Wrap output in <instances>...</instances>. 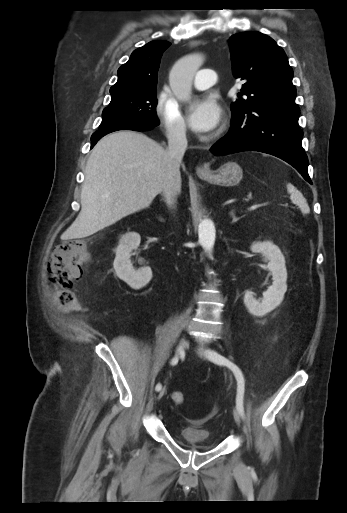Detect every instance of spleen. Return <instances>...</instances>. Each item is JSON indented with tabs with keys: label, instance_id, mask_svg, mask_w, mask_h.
<instances>
[{
	"label": "spleen",
	"instance_id": "spleen-1",
	"mask_svg": "<svg viewBox=\"0 0 347 513\" xmlns=\"http://www.w3.org/2000/svg\"><path fill=\"white\" fill-rule=\"evenodd\" d=\"M287 192L290 194L291 201L296 204L303 214H308L310 208L303 194L291 183L286 185Z\"/></svg>",
	"mask_w": 347,
	"mask_h": 513
}]
</instances>
